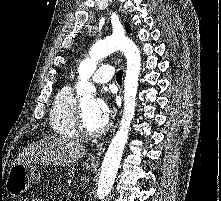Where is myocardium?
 <instances>
[{
  "instance_id": "obj_1",
  "label": "myocardium",
  "mask_w": 221,
  "mask_h": 201,
  "mask_svg": "<svg viewBox=\"0 0 221 201\" xmlns=\"http://www.w3.org/2000/svg\"><path fill=\"white\" fill-rule=\"evenodd\" d=\"M110 127L107 122L105 125L97 131H91L87 128L84 120V112L81 102H78L76 109V129L79 135L86 138H95L103 135Z\"/></svg>"
}]
</instances>
